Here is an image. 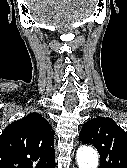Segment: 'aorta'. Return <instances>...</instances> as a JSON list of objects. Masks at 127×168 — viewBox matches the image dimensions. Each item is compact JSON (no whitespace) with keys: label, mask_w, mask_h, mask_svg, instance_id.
Masks as SVG:
<instances>
[{"label":"aorta","mask_w":127,"mask_h":168,"mask_svg":"<svg viewBox=\"0 0 127 168\" xmlns=\"http://www.w3.org/2000/svg\"><path fill=\"white\" fill-rule=\"evenodd\" d=\"M77 164L79 168H97L98 154L89 146H81L77 150Z\"/></svg>","instance_id":"obj_1"}]
</instances>
